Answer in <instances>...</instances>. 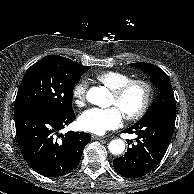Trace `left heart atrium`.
I'll return each instance as SVG.
<instances>
[{"label": "left heart atrium", "instance_id": "obj_1", "mask_svg": "<svg viewBox=\"0 0 194 194\" xmlns=\"http://www.w3.org/2000/svg\"><path fill=\"white\" fill-rule=\"evenodd\" d=\"M122 120L123 114L115 106L106 109L91 108L79 116L78 125L84 131L103 134L107 130L118 128Z\"/></svg>", "mask_w": 194, "mask_h": 194}]
</instances>
